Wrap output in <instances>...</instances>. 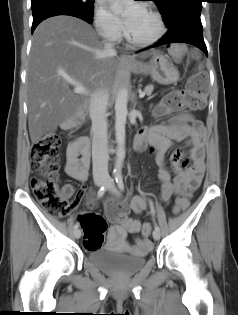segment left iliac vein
<instances>
[{"instance_id":"4c4485c4","label":"left iliac vein","mask_w":238,"mask_h":315,"mask_svg":"<svg viewBox=\"0 0 238 315\" xmlns=\"http://www.w3.org/2000/svg\"><path fill=\"white\" fill-rule=\"evenodd\" d=\"M108 180H109V178L106 179V181H108ZM108 189H109L112 193L118 194V192H117V190H116L115 185H114L113 182H110V184H109V186H108ZM153 238H154V240H159V239H160V231L154 230V231H153Z\"/></svg>"}]
</instances>
